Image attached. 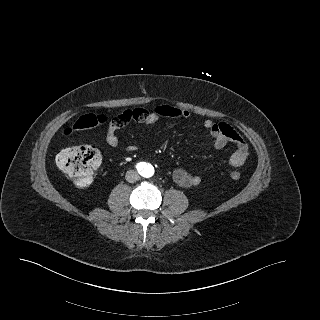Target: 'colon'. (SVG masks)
<instances>
[{"mask_svg":"<svg viewBox=\"0 0 320 320\" xmlns=\"http://www.w3.org/2000/svg\"><path fill=\"white\" fill-rule=\"evenodd\" d=\"M106 121L102 115H85L73 126V129L66 130L69 134L72 130L92 129ZM101 163L99 150L91 144L70 147L59 152L56 158L58 168L64 172L77 186L89 185ZM232 180H239L240 173L232 172Z\"/></svg>","mask_w":320,"mask_h":320,"instance_id":"1","label":"colon"}]
</instances>
